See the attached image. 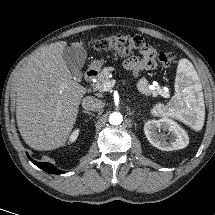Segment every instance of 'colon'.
Returning <instances> with one entry per match:
<instances>
[{
	"label": "colon",
	"instance_id": "1",
	"mask_svg": "<svg viewBox=\"0 0 215 215\" xmlns=\"http://www.w3.org/2000/svg\"><path fill=\"white\" fill-rule=\"evenodd\" d=\"M93 46L97 50L114 51L120 55H132L138 50H142L144 40L141 36L135 34H117L110 37L97 39L93 42ZM175 60L172 52H164L159 55V61L162 66L169 67Z\"/></svg>",
	"mask_w": 215,
	"mask_h": 215
}]
</instances>
